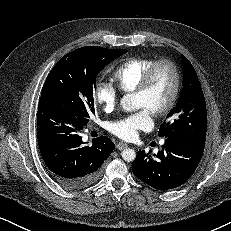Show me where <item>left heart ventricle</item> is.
Listing matches in <instances>:
<instances>
[{
  "instance_id": "left-heart-ventricle-1",
  "label": "left heart ventricle",
  "mask_w": 231,
  "mask_h": 231,
  "mask_svg": "<svg viewBox=\"0 0 231 231\" xmlns=\"http://www.w3.org/2000/svg\"><path fill=\"white\" fill-rule=\"evenodd\" d=\"M173 87V74L169 67L160 66L155 72L149 90L144 95L135 94L137 108L157 109L168 101Z\"/></svg>"
}]
</instances>
